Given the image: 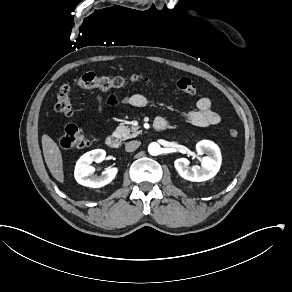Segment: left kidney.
<instances>
[{"label":"left kidney","instance_id":"1","mask_svg":"<svg viewBox=\"0 0 292 292\" xmlns=\"http://www.w3.org/2000/svg\"><path fill=\"white\" fill-rule=\"evenodd\" d=\"M198 155L207 154L202 159V169H190L189 160L181 157L175 160L174 167L178 174L185 180L191 182H204L213 178L219 171L221 165L220 150L216 144L210 141L198 142L195 146Z\"/></svg>","mask_w":292,"mask_h":292}]
</instances>
